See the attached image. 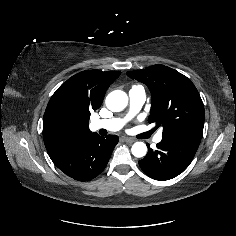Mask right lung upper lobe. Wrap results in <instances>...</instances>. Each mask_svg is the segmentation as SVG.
Here are the masks:
<instances>
[{
    "label": "right lung upper lobe",
    "mask_w": 236,
    "mask_h": 236,
    "mask_svg": "<svg viewBox=\"0 0 236 236\" xmlns=\"http://www.w3.org/2000/svg\"><path fill=\"white\" fill-rule=\"evenodd\" d=\"M120 74L83 71L52 95L43 118V140L53 162L94 134L88 126L90 112L101 106L106 90Z\"/></svg>",
    "instance_id": "right-lung-upper-lobe-1"
}]
</instances>
